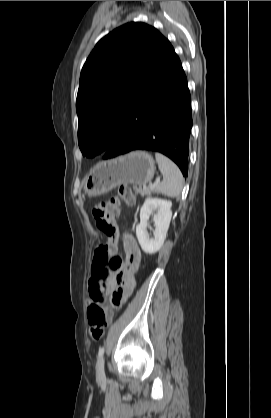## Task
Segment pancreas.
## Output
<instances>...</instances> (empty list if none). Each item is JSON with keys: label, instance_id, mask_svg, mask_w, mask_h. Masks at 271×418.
<instances>
[{"label": "pancreas", "instance_id": "pancreas-1", "mask_svg": "<svg viewBox=\"0 0 271 418\" xmlns=\"http://www.w3.org/2000/svg\"><path fill=\"white\" fill-rule=\"evenodd\" d=\"M135 193L140 194L141 196H150L151 193H156L157 189L156 187H137L136 185L133 187Z\"/></svg>", "mask_w": 271, "mask_h": 418}]
</instances>
